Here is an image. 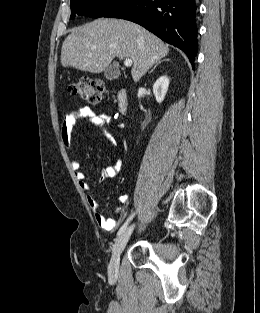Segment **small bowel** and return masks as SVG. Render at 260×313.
Masks as SVG:
<instances>
[{
  "label": "small bowel",
  "instance_id": "obj_1",
  "mask_svg": "<svg viewBox=\"0 0 260 313\" xmlns=\"http://www.w3.org/2000/svg\"><path fill=\"white\" fill-rule=\"evenodd\" d=\"M84 120L87 124L100 128L102 134L110 142L115 143V140L109 128L112 124L113 117L111 114L106 112H96L89 106H82L77 109L69 111L62 122L61 126V138L66 147L71 146L72 135L75 126ZM71 168L74 172L75 178L80 186V188L86 193L87 203L93 212L96 222L98 225L106 230H113L117 227L120 221H122L128 210L126 208H121L117 211L116 218H107L103 212L100 210L99 204L93 195L90 193V187L86 180L85 173L81 170V166L78 160L73 159L71 161ZM122 168V161L119 159L113 165L108 166L102 172L101 178L103 180L116 177ZM120 201L123 204H128L130 202V197L128 195H122Z\"/></svg>",
  "mask_w": 260,
  "mask_h": 313
}]
</instances>
